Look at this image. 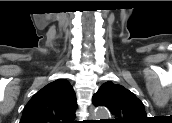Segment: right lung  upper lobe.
Wrapping results in <instances>:
<instances>
[{
    "label": "right lung upper lobe",
    "instance_id": "obj_1",
    "mask_svg": "<svg viewBox=\"0 0 172 123\" xmlns=\"http://www.w3.org/2000/svg\"><path fill=\"white\" fill-rule=\"evenodd\" d=\"M76 108V95L70 82L58 79L29 100L20 123H72Z\"/></svg>",
    "mask_w": 172,
    "mask_h": 123
}]
</instances>
